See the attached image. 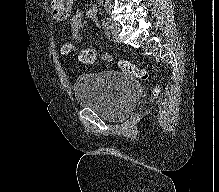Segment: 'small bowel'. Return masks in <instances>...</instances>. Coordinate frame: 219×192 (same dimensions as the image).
Returning <instances> with one entry per match:
<instances>
[{
    "label": "small bowel",
    "mask_w": 219,
    "mask_h": 192,
    "mask_svg": "<svg viewBox=\"0 0 219 192\" xmlns=\"http://www.w3.org/2000/svg\"><path fill=\"white\" fill-rule=\"evenodd\" d=\"M75 2L76 0H50V9L54 19L58 22L67 20L71 14L69 19L70 28L75 37L78 38L86 19H96L98 9L93 6L85 14L81 10H74ZM102 58L107 60L109 56L104 54Z\"/></svg>",
    "instance_id": "obj_1"
}]
</instances>
